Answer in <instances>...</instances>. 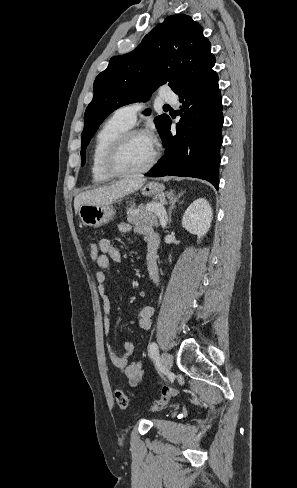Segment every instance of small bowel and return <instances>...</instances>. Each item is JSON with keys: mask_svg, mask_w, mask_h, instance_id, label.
Here are the masks:
<instances>
[{"mask_svg": "<svg viewBox=\"0 0 297 488\" xmlns=\"http://www.w3.org/2000/svg\"><path fill=\"white\" fill-rule=\"evenodd\" d=\"M118 229L121 233H128L132 227L127 223H120ZM133 231L142 237L147 244V268L150 279L155 285H159L160 276L158 268L157 250L159 246V236L150 227L145 225H137ZM98 247L100 250L99 258L96 263L99 271L96 272L95 278L98 284V291L102 299L104 312V327L108 332L111 326V301L107 293V276L105 270L110 267L111 261L119 262L121 260V253L119 249L108 238H102ZM155 313L153 306L143 307L137 314V322L141 329L148 330L152 325V318ZM121 354H118L111 345H108L109 357L113 365L123 374L129 381L131 386H137L144 375L143 364L141 360L130 361L133 352V344L125 342L121 345Z\"/></svg>", "mask_w": 297, "mask_h": 488, "instance_id": "c3829d8e", "label": "small bowel"}]
</instances>
